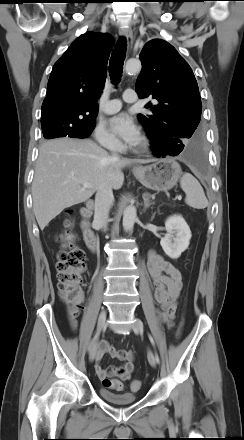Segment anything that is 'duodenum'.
<instances>
[{"label":"duodenum","instance_id":"1","mask_svg":"<svg viewBox=\"0 0 244 440\" xmlns=\"http://www.w3.org/2000/svg\"><path fill=\"white\" fill-rule=\"evenodd\" d=\"M92 210H93L92 201H89L81 209V217H82L81 228L86 245L92 252H95L97 249L98 238L90 226V218L92 216Z\"/></svg>","mask_w":244,"mask_h":440}]
</instances>
